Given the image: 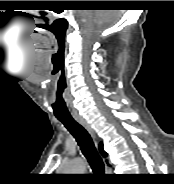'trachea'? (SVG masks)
<instances>
[{
  "mask_svg": "<svg viewBox=\"0 0 174 184\" xmlns=\"http://www.w3.org/2000/svg\"><path fill=\"white\" fill-rule=\"evenodd\" d=\"M59 121H61L74 136L93 172L96 174L104 173V163L99 156L88 131L73 118H59Z\"/></svg>",
  "mask_w": 174,
  "mask_h": 184,
  "instance_id": "3493384b",
  "label": "trachea"
}]
</instances>
